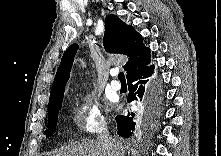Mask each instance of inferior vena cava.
Instances as JSON below:
<instances>
[{"label": "inferior vena cava", "mask_w": 221, "mask_h": 156, "mask_svg": "<svg viewBox=\"0 0 221 156\" xmlns=\"http://www.w3.org/2000/svg\"><path fill=\"white\" fill-rule=\"evenodd\" d=\"M99 141L103 144L104 147H112V142L111 140L109 139L108 137V134L107 133H102L100 138H99Z\"/></svg>", "instance_id": "602c4592"}]
</instances>
